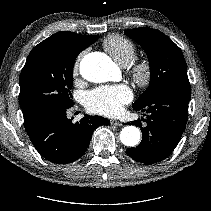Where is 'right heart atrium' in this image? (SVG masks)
<instances>
[{"label": "right heart atrium", "instance_id": "right-heart-atrium-1", "mask_svg": "<svg viewBox=\"0 0 211 211\" xmlns=\"http://www.w3.org/2000/svg\"><path fill=\"white\" fill-rule=\"evenodd\" d=\"M82 55L83 54L78 55L77 58L74 61V64H73V74L74 75H77L78 74V71H79V63H80V60L82 58Z\"/></svg>", "mask_w": 211, "mask_h": 211}]
</instances>
